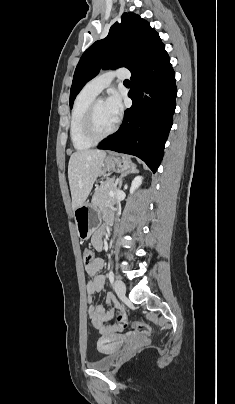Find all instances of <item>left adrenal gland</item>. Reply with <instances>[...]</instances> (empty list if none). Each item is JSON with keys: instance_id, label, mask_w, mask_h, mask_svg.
<instances>
[{"instance_id": "left-adrenal-gland-1", "label": "left adrenal gland", "mask_w": 235, "mask_h": 404, "mask_svg": "<svg viewBox=\"0 0 235 404\" xmlns=\"http://www.w3.org/2000/svg\"><path fill=\"white\" fill-rule=\"evenodd\" d=\"M138 172H139V170H137V169H136V166L134 165V166H132L131 169H129L128 171L122 173L121 176H120V178H119V186H120V187L122 186V182H123V178H124V177H126V176L129 175V174L138 173Z\"/></svg>"}]
</instances>
